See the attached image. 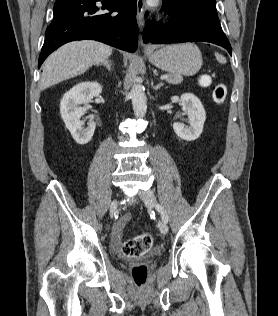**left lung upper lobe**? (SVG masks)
Returning a JSON list of instances; mask_svg holds the SVG:
<instances>
[{"label": "left lung upper lobe", "mask_w": 278, "mask_h": 316, "mask_svg": "<svg viewBox=\"0 0 278 316\" xmlns=\"http://www.w3.org/2000/svg\"><path fill=\"white\" fill-rule=\"evenodd\" d=\"M178 18L198 21L222 31L215 0H163Z\"/></svg>", "instance_id": "5c2ea615"}]
</instances>
